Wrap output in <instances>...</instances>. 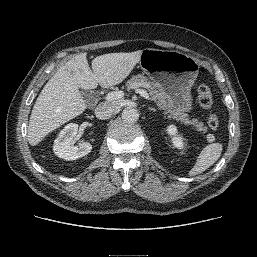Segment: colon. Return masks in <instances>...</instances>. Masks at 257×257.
<instances>
[{"label": "colon", "mask_w": 257, "mask_h": 257, "mask_svg": "<svg viewBox=\"0 0 257 257\" xmlns=\"http://www.w3.org/2000/svg\"><path fill=\"white\" fill-rule=\"evenodd\" d=\"M197 98L203 108L210 109L213 105V95L209 86L201 85L197 90ZM208 126L215 129L219 125V119L216 114H210L207 119Z\"/></svg>", "instance_id": "1"}]
</instances>
